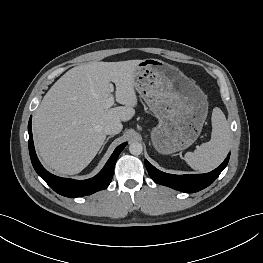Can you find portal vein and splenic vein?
<instances>
[{
    "label": "portal vein and splenic vein",
    "mask_w": 263,
    "mask_h": 263,
    "mask_svg": "<svg viewBox=\"0 0 263 263\" xmlns=\"http://www.w3.org/2000/svg\"><path fill=\"white\" fill-rule=\"evenodd\" d=\"M110 91L111 92L114 91L113 85H110ZM113 105H114V97H113V95H111L106 101V108L109 109Z\"/></svg>",
    "instance_id": "portal-vein-and-splenic-vein-1"
}]
</instances>
